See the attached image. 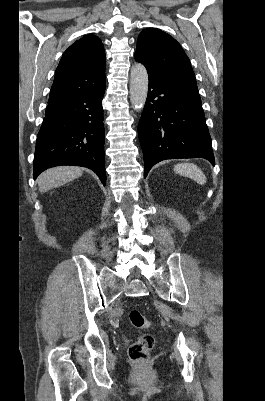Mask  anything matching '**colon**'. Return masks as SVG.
<instances>
[{
	"label": "colon",
	"mask_w": 265,
	"mask_h": 401,
	"mask_svg": "<svg viewBox=\"0 0 265 401\" xmlns=\"http://www.w3.org/2000/svg\"><path fill=\"white\" fill-rule=\"evenodd\" d=\"M129 321L136 328H149L150 322L138 310L129 313ZM155 339L151 334L142 335L129 347V358L136 364H144L148 361Z\"/></svg>",
	"instance_id": "5ec220e1"
}]
</instances>
